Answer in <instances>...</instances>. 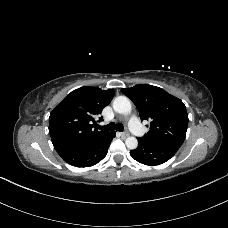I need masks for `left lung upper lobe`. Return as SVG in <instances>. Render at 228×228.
<instances>
[{
    "label": "left lung upper lobe",
    "mask_w": 228,
    "mask_h": 228,
    "mask_svg": "<svg viewBox=\"0 0 228 228\" xmlns=\"http://www.w3.org/2000/svg\"><path fill=\"white\" fill-rule=\"evenodd\" d=\"M136 105L141 120L150 121V130L142 140L180 147L185 139L188 114L184 103L152 85H136L122 89Z\"/></svg>",
    "instance_id": "5c2ea615"
}]
</instances>
